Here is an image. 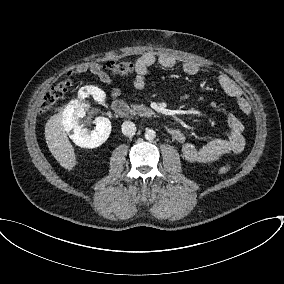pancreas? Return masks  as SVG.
Masks as SVG:
<instances>
[{
    "instance_id": "cf45deb5",
    "label": "pancreas",
    "mask_w": 284,
    "mask_h": 284,
    "mask_svg": "<svg viewBox=\"0 0 284 284\" xmlns=\"http://www.w3.org/2000/svg\"><path fill=\"white\" fill-rule=\"evenodd\" d=\"M132 112L133 114H138L139 116H145V117H151L154 112L146 107L145 105H138L134 104L132 105Z\"/></svg>"
}]
</instances>
